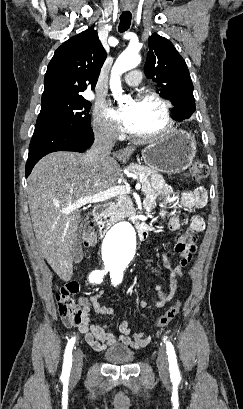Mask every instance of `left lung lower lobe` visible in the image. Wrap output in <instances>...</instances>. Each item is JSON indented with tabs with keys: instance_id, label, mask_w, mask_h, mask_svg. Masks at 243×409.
<instances>
[{
	"instance_id": "1",
	"label": "left lung lower lobe",
	"mask_w": 243,
	"mask_h": 409,
	"mask_svg": "<svg viewBox=\"0 0 243 409\" xmlns=\"http://www.w3.org/2000/svg\"><path fill=\"white\" fill-rule=\"evenodd\" d=\"M184 119H188V118H177L176 120L182 121Z\"/></svg>"
}]
</instances>
